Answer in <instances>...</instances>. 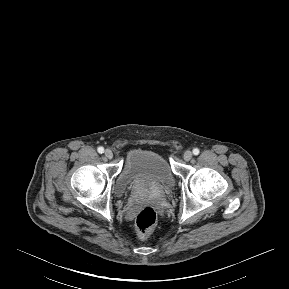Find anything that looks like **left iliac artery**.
I'll return each mask as SVG.
<instances>
[{"label":"left iliac artery","mask_w":289,"mask_h":289,"mask_svg":"<svg viewBox=\"0 0 289 289\" xmlns=\"http://www.w3.org/2000/svg\"><path fill=\"white\" fill-rule=\"evenodd\" d=\"M199 152H200V150H199L198 148H194V149H193V154H194V155H198Z\"/></svg>","instance_id":"left-iliac-artery-1"}]
</instances>
